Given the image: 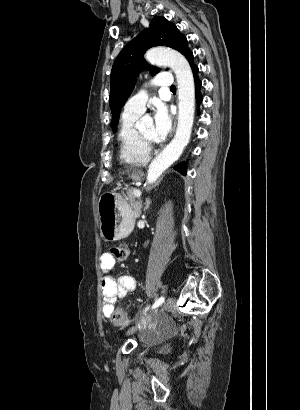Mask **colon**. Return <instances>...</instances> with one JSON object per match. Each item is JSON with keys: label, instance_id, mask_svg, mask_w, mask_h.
I'll return each instance as SVG.
<instances>
[{"label": "colon", "instance_id": "obj_1", "mask_svg": "<svg viewBox=\"0 0 300 410\" xmlns=\"http://www.w3.org/2000/svg\"><path fill=\"white\" fill-rule=\"evenodd\" d=\"M110 252L119 261L126 260L129 256V248L126 245H115L111 248ZM110 320L117 326H125L130 322L127 313L122 309L113 310L110 313Z\"/></svg>", "mask_w": 300, "mask_h": 410}]
</instances>
